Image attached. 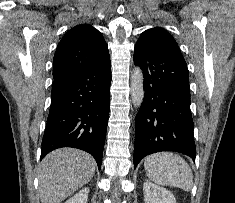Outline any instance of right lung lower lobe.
I'll list each match as a JSON object with an SVG mask.
<instances>
[{"mask_svg":"<svg viewBox=\"0 0 235 203\" xmlns=\"http://www.w3.org/2000/svg\"><path fill=\"white\" fill-rule=\"evenodd\" d=\"M110 57L52 85L42 140V160L50 151L74 147L90 153L100 169L110 109Z\"/></svg>","mask_w":235,"mask_h":203,"instance_id":"98d812e1","label":"right lung lower lobe"}]
</instances>
